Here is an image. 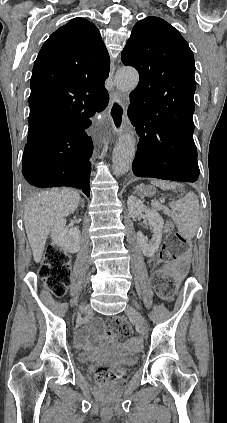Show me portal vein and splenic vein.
<instances>
[{"label":"portal vein and splenic vein","instance_id":"1","mask_svg":"<svg viewBox=\"0 0 227 423\" xmlns=\"http://www.w3.org/2000/svg\"><path fill=\"white\" fill-rule=\"evenodd\" d=\"M160 203H161V204H165V203H166V200H165V199H161V200H160Z\"/></svg>","mask_w":227,"mask_h":423}]
</instances>
